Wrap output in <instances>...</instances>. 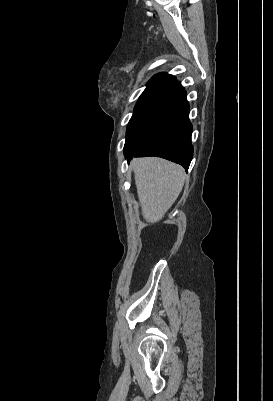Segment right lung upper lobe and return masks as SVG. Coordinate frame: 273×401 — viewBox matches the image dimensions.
<instances>
[{
	"label": "right lung upper lobe",
	"mask_w": 273,
	"mask_h": 401,
	"mask_svg": "<svg viewBox=\"0 0 273 401\" xmlns=\"http://www.w3.org/2000/svg\"><path fill=\"white\" fill-rule=\"evenodd\" d=\"M182 91H184V88L176 81L174 76L158 73L151 78L141 96L154 95L172 98Z\"/></svg>",
	"instance_id": "obj_1"
}]
</instances>
